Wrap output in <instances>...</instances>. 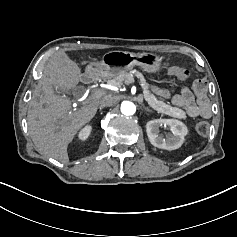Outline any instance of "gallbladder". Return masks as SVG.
<instances>
[{
  "label": "gallbladder",
  "instance_id": "gallbladder-1",
  "mask_svg": "<svg viewBox=\"0 0 237 237\" xmlns=\"http://www.w3.org/2000/svg\"><path fill=\"white\" fill-rule=\"evenodd\" d=\"M75 89H76V88H75ZM75 89H74V90H75ZM58 95H59L60 98L65 99V98L68 97L69 92H68L67 89L62 88V89L59 90Z\"/></svg>",
  "mask_w": 237,
  "mask_h": 237
}]
</instances>
